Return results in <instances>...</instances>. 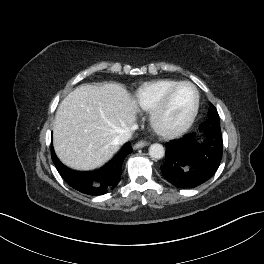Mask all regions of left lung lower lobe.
<instances>
[{"mask_svg": "<svg viewBox=\"0 0 264 264\" xmlns=\"http://www.w3.org/2000/svg\"><path fill=\"white\" fill-rule=\"evenodd\" d=\"M201 134H186L166 144L162 175L179 188H195L217 171L223 154L221 130L200 126Z\"/></svg>", "mask_w": 264, "mask_h": 264, "instance_id": "left-lung-lower-lobe-1", "label": "left lung lower lobe"}]
</instances>
